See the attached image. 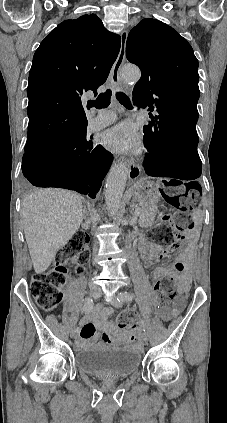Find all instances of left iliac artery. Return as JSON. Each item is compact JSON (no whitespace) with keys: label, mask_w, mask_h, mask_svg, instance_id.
<instances>
[{"label":"left iliac artery","mask_w":227,"mask_h":423,"mask_svg":"<svg viewBox=\"0 0 227 423\" xmlns=\"http://www.w3.org/2000/svg\"><path fill=\"white\" fill-rule=\"evenodd\" d=\"M133 297L132 295H130L129 293L125 292L124 295L122 296L121 300L123 302H130L132 301ZM140 327L142 328L143 331L146 330V325L145 322L141 319L139 322Z\"/></svg>","instance_id":"obj_1"}]
</instances>
